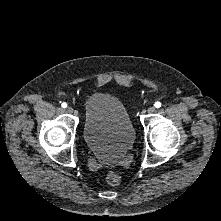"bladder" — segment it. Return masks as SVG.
<instances>
[{"label": "bladder", "mask_w": 221, "mask_h": 221, "mask_svg": "<svg viewBox=\"0 0 221 221\" xmlns=\"http://www.w3.org/2000/svg\"><path fill=\"white\" fill-rule=\"evenodd\" d=\"M83 132L88 148L112 163L126 154L135 140V129L125 106L107 93L86 98Z\"/></svg>", "instance_id": "1"}]
</instances>
